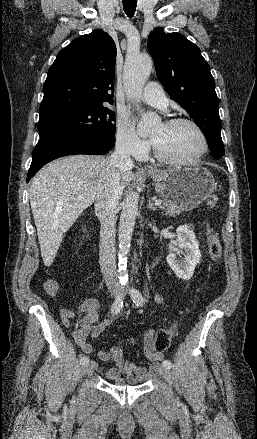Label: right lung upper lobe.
Instances as JSON below:
<instances>
[{"label":"right lung upper lobe","instance_id":"1","mask_svg":"<svg viewBox=\"0 0 257 439\" xmlns=\"http://www.w3.org/2000/svg\"><path fill=\"white\" fill-rule=\"evenodd\" d=\"M116 46L103 31H93L62 49L48 71L40 119L113 103ZM112 91V93H111Z\"/></svg>","mask_w":257,"mask_h":439}]
</instances>
